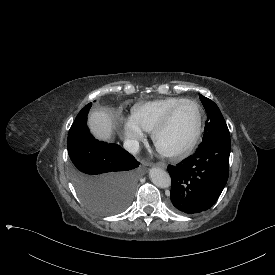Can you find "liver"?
I'll use <instances>...</instances> for the list:
<instances>
[{
  "instance_id": "6515ba94",
  "label": "liver",
  "mask_w": 275,
  "mask_h": 275,
  "mask_svg": "<svg viewBox=\"0 0 275 275\" xmlns=\"http://www.w3.org/2000/svg\"><path fill=\"white\" fill-rule=\"evenodd\" d=\"M88 126L96 138L109 140L112 136V118L104 110L94 111L89 115Z\"/></svg>"
}]
</instances>
